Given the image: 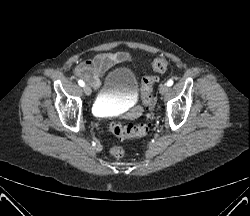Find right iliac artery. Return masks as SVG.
I'll use <instances>...</instances> for the list:
<instances>
[{
    "mask_svg": "<svg viewBox=\"0 0 250 216\" xmlns=\"http://www.w3.org/2000/svg\"><path fill=\"white\" fill-rule=\"evenodd\" d=\"M78 84H79L80 86H82V87L85 85V83H84L83 80H78Z\"/></svg>",
    "mask_w": 250,
    "mask_h": 216,
    "instance_id": "obj_1",
    "label": "right iliac artery"
}]
</instances>
